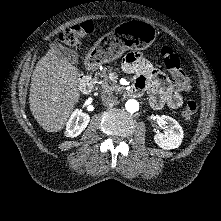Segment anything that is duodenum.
Listing matches in <instances>:
<instances>
[{
	"instance_id": "duodenum-1",
	"label": "duodenum",
	"mask_w": 221,
	"mask_h": 221,
	"mask_svg": "<svg viewBox=\"0 0 221 221\" xmlns=\"http://www.w3.org/2000/svg\"><path fill=\"white\" fill-rule=\"evenodd\" d=\"M92 66L90 65V68L88 69L87 73H83L80 74L78 76V83L80 85V88L83 92L88 93L93 85L92 79H91V71H92ZM128 93L131 96H139L138 95V91L136 89V87L134 85H132L129 89H128Z\"/></svg>"
}]
</instances>
